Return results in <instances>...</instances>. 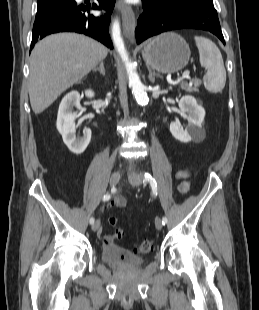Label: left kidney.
I'll use <instances>...</instances> for the list:
<instances>
[{
  "instance_id": "1",
  "label": "left kidney",
  "mask_w": 259,
  "mask_h": 310,
  "mask_svg": "<svg viewBox=\"0 0 259 310\" xmlns=\"http://www.w3.org/2000/svg\"><path fill=\"white\" fill-rule=\"evenodd\" d=\"M179 108L183 113H187L188 125L183 129L178 120L171 122L170 132L173 137L183 143L201 140L204 137L202 130V122L205 117L204 108L190 95L180 99Z\"/></svg>"
}]
</instances>
